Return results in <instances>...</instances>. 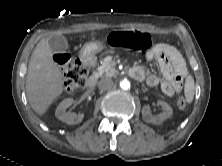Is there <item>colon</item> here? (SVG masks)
<instances>
[{
  "instance_id": "colon-1",
  "label": "colon",
  "mask_w": 222,
  "mask_h": 166,
  "mask_svg": "<svg viewBox=\"0 0 222 166\" xmlns=\"http://www.w3.org/2000/svg\"><path fill=\"white\" fill-rule=\"evenodd\" d=\"M108 42L111 46L129 48L133 50H146L151 46V37L147 33L141 32H113L108 37ZM56 62L61 68L65 79V88L69 93H73L86 84L87 69L82 61L75 59L69 54H58ZM179 109L186 107L184 98H179L177 101Z\"/></svg>"
}]
</instances>
